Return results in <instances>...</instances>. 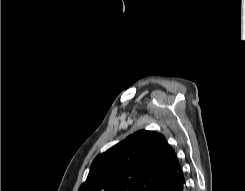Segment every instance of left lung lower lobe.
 Returning a JSON list of instances; mask_svg holds the SVG:
<instances>
[{
    "label": "left lung lower lobe",
    "instance_id": "0a47b994",
    "mask_svg": "<svg viewBox=\"0 0 245 191\" xmlns=\"http://www.w3.org/2000/svg\"><path fill=\"white\" fill-rule=\"evenodd\" d=\"M185 178L180 163L175 166L169 176L157 188L156 191H185Z\"/></svg>",
    "mask_w": 245,
    "mask_h": 191
}]
</instances>
